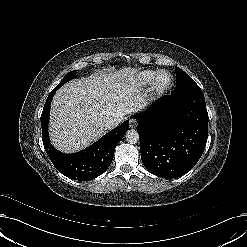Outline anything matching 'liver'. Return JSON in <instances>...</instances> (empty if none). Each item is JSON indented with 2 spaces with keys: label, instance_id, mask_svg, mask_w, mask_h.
<instances>
[{
  "label": "liver",
  "instance_id": "obj_1",
  "mask_svg": "<svg viewBox=\"0 0 247 247\" xmlns=\"http://www.w3.org/2000/svg\"><path fill=\"white\" fill-rule=\"evenodd\" d=\"M136 73L133 68L102 70L63 85L51 104L49 135L53 146L65 153L79 151L107 132L109 117L117 115L125 120L141 109L146 94L136 81Z\"/></svg>",
  "mask_w": 247,
  "mask_h": 247
}]
</instances>
